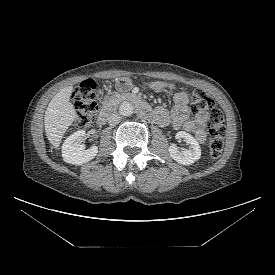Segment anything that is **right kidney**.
Returning <instances> with one entry per match:
<instances>
[{
    "instance_id": "ca27d5eb",
    "label": "right kidney",
    "mask_w": 275,
    "mask_h": 275,
    "mask_svg": "<svg viewBox=\"0 0 275 275\" xmlns=\"http://www.w3.org/2000/svg\"><path fill=\"white\" fill-rule=\"evenodd\" d=\"M85 134L86 132L84 130H79L64 141L62 145V157L66 163L82 165L89 162L97 155V146L93 145L85 150L84 144H81Z\"/></svg>"
}]
</instances>
